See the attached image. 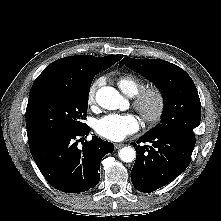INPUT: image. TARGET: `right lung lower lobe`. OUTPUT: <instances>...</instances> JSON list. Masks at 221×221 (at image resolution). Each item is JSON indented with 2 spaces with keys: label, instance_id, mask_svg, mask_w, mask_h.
I'll use <instances>...</instances> for the list:
<instances>
[{
  "label": "right lung lower lobe",
  "instance_id": "right-lung-lower-lobe-1",
  "mask_svg": "<svg viewBox=\"0 0 221 221\" xmlns=\"http://www.w3.org/2000/svg\"><path fill=\"white\" fill-rule=\"evenodd\" d=\"M89 132L87 126L78 132L52 134L29 142L38 168L55 189L65 193H79L98 184L101 158L113 152L114 145L93 137L79 148L78 141Z\"/></svg>",
  "mask_w": 221,
  "mask_h": 221
}]
</instances>
